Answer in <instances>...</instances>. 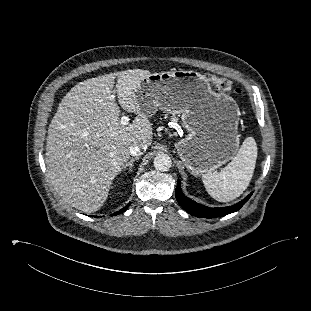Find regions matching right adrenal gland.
Returning a JSON list of instances; mask_svg holds the SVG:
<instances>
[{
    "mask_svg": "<svg viewBox=\"0 0 311 311\" xmlns=\"http://www.w3.org/2000/svg\"><path fill=\"white\" fill-rule=\"evenodd\" d=\"M139 157H135V158H132L127 164H125L124 166V171L127 169V167L129 168V172H132V168H133V162L138 160Z\"/></svg>",
    "mask_w": 311,
    "mask_h": 311,
    "instance_id": "1",
    "label": "right adrenal gland"
}]
</instances>
